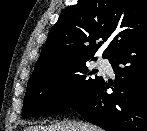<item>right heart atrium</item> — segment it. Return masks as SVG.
Listing matches in <instances>:
<instances>
[{"instance_id":"right-heart-atrium-1","label":"right heart atrium","mask_w":147,"mask_h":131,"mask_svg":"<svg viewBox=\"0 0 147 131\" xmlns=\"http://www.w3.org/2000/svg\"><path fill=\"white\" fill-rule=\"evenodd\" d=\"M73 82L68 75L57 78L54 82L53 89L54 93L59 98L66 97L72 90Z\"/></svg>"}]
</instances>
